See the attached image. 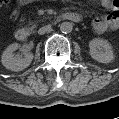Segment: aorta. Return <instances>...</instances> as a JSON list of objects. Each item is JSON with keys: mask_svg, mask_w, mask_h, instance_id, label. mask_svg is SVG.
Segmentation results:
<instances>
[{"mask_svg": "<svg viewBox=\"0 0 119 119\" xmlns=\"http://www.w3.org/2000/svg\"><path fill=\"white\" fill-rule=\"evenodd\" d=\"M73 29V25L70 22H62L60 24V31L63 33H70Z\"/></svg>", "mask_w": 119, "mask_h": 119, "instance_id": "1", "label": "aorta"}]
</instances>
